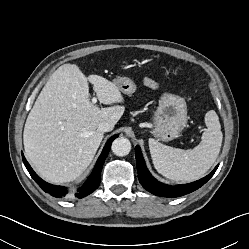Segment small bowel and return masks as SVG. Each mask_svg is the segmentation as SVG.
<instances>
[{
    "label": "small bowel",
    "instance_id": "c3829d8e",
    "mask_svg": "<svg viewBox=\"0 0 249 249\" xmlns=\"http://www.w3.org/2000/svg\"><path fill=\"white\" fill-rule=\"evenodd\" d=\"M144 83L147 87H150L152 89L157 88V83L151 78H145Z\"/></svg>",
    "mask_w": 249,
    "mask_h": 249
}]
</instances>
